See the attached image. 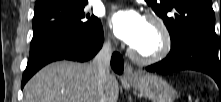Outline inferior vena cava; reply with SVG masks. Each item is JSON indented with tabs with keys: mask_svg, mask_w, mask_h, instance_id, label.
I'll use <instances>...</instances> for the list:
<instances>
[{
	"mask_svg": "<svg viewBox=\"0 0 221 102\" xmlns=\"http://www.w3.org/2000/svg\"><path fill=\"white\" fill-rule=\"evenodd\" d=\"M112 56L111 42L108 40L104 42L101 50L97 53L93 59L92 66L97 69L100 86L107 82L110 75V61ZM104 98L100 102H104Z\"/></svg>",
	"mask_w": 221,
	"mask_h": 102,
	"instance_id": "602c4592",
	"label": "inferior vena cava"
}]
</instances>
